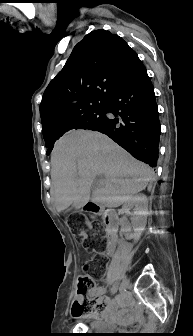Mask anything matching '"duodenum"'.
<instances>
[{
	"instance_id": "1",
	"label": "duodenum",
	"mask_w": 193,
	"mask_h": 336,
	"mask_svg": "<svg viewBox=\"0 0 193 336\" xmlns=\"http://www.w3.org/2000/svg\"><path fill=\"white\" fill-rule=\"evenodd\" d=\"M93 210H96L95 205L90 206ZM107 233H108V242L106 246V252L108 255H112L115 250V233L119 226V218L117 214L110 212L105 215Z\"/></svg>"
}]
</instances>
